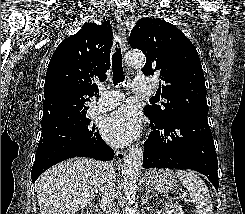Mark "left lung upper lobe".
Here are the masks:
<instances>
[{
	"label": "left lung upper lobe",
	"mask_w": 245,
	"mask_h": 214,
	"mask_svg": "<svg viewBox=\"0 0 245 214\" xmlns=\"http://www.w3.org/2000/svg\"><path fill=\"white\" fill-rule=\"evenodd\" d=\"M131 48L146 56L142 72L159 75L157 94L163 107L147 105L144 112L165 124L191 113H208L205 77L196 48L174 25L159 18H142L130 35Z\"/></svg>",
	"instance_id": "1"
}]
</instances>
